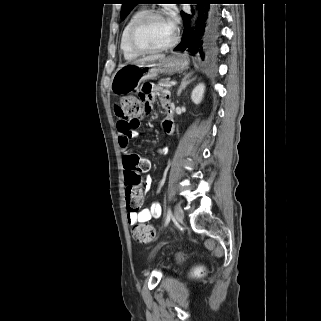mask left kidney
I'll list each match as a JSON object with an SVG mask.
<instances>
[{"instance_id":"1","label":"left kidney","mask_w":321,"mask_h":321,"mask_svg":"<svg viewBox=\"0 0 321 321\" xmlns=\"http://www.w3.org/2000/svg\"><path fill=\"white\" fill-rule=\"evenodd\" d=\"M204 91H205L204 84L203 83L198 84L192 91L191 100L195 104H200L203 99Z\"/></svg>"}]
</instances>
